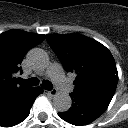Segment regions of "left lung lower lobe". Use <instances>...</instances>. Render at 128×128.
Listing matches in <instances>:
<instances>
[{
	"label": "left lung lower lobe",
	"mask_w": 128,
	"mask_h": 128,
	"mask_svg": "<svg viewBox=\"0 0 128 128\" xmlns=\"http://www.w3.org/2000/svg\"><path fill=\"white\" fill-rule=\"evenodd\" d=\"M72 107L64 113H58L59 117L66 122L82 126L97 119L107 109L111 99L107 97L91 95L70 94Z\"/></svg>",
	"instance_id": "left-lung-lower-lobe-1"
}]
</instances>
